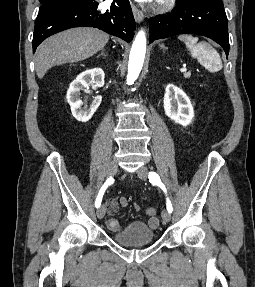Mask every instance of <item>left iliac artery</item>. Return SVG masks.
<instances>
[{
    "label": "left iliac artery",
    "mask_w": 255,
    "mask_h": 287,
    "mask_svg": "<svg viewBox=\"0 0 255 287\" xmlns=\"http://www.w3.org/2000/svg\"><path fill=\"white\" fill-rule=\"evenodd\" d=\"M149 181L153 184V185H157L159 186L163 191L164 193L166 194L167 191H166V188L164 186V184L161 182L158 174H156L155 172H150L149 173ZM167 210L171 213L173 208H172V204L169 200V198L167 197Z\"/></svg>",
    "instance_id": "1"
}]
</instances>
